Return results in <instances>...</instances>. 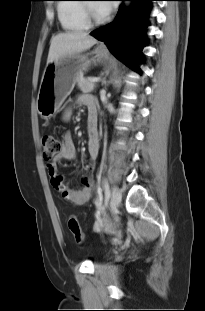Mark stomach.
Segmentation results:
<instances>
[{
    "instance_id": "obj_1",
    "label": "stomach",
    "mask_w": 205,
    "mask_h": 311,
    "mask_svg": "<svg viewBox=\"0 0 205 311\" xmlns=\"http://www.w3.org/2000/svg\"><path fill=\"white\" fill-rule=\"evenodd\" d=\"M91 59L88 54L75 53L47 64L37 96V110L43 118L52 117L73 90L76 78L87 71L91 64L107 60L105 50L95 49Z\"/></svg>"
}]
</instances>
